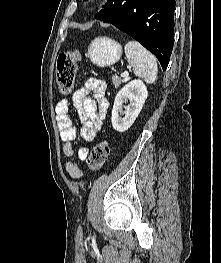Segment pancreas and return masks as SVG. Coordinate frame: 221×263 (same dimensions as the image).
<instances>
[{"label":"pancreas","mask_w":221,"mask_h":263,"mask_svg":"<svg viewBox=\"0 0 221 263\" xmlns=\"http://www.w3.org/2000/svg\"><path fill=\"white\" fill-rule=\"evenodd\" d=\"M122 82H123V80L120 77H118L116 75L112 77V83H113L115 88H118Z\"/></svg>","instance_id":"pancreas-1"}]
</instances>
